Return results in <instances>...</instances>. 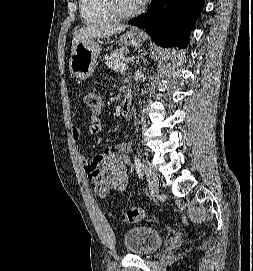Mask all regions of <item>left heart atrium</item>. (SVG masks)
<instances>
[{
  "instance_id": "39dd6f15",
  "label": "left heart atrium",
  "mask_w": 253,
  "mask_h": 271,
  "mask_svg": "<svg viewBox=\"0 0 253 271\" xmlns=\"http://www.w3.org/2000/svg\"><path fill=\"white\" fill-rule=\"evenodd\" d=\"M139 4H143L146 0H137Z\"/></svg>"
}]
</instances>
